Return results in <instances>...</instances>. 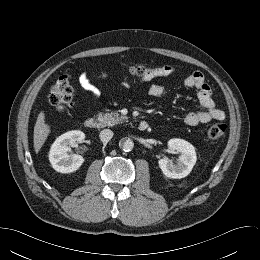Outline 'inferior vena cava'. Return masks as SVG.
Masks as SVG:
<instances>
[{
    "label": "inferior vena cava",
    "instance_id": "inferior-vena-cava-1",
    "mask_svg": "<svg viewBox=\"0 0 260 260\" xmlns=\"http://www.w3.org/2000/svg\"><path fill=\"white\" fill-rule=\"evenodd\" d=\"M99 137L102 142H108L113 137V132L110 129H104L100 132Z\"/></svg>",
    "mask_w": 260,
    "mask_h": 260
}]
</instances>
